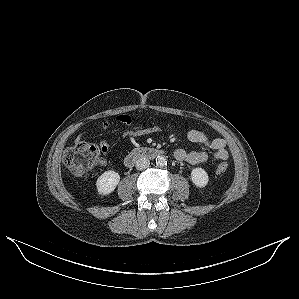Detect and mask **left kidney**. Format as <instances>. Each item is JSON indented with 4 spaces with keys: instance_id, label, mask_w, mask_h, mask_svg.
I'll return each instance as SVG.
<instances>
[{
    "instance_id": "left-kidney-1",
    "label": "left kidney",
    "mask_w": 299,
    "mask_h": 299,
    "mask_svg": "<svg viewBox=\"0 0 299 299\" xmlns=\"http://www.w3.org/2000/svg\"><path fill=\"white\" fill-rule=\"evenodd\" d=\"M191 180L197 187L202 188L208 184L209 177L204 169L197 167L192 169Z\"/></svg>"
}]
</instances>
